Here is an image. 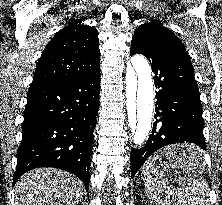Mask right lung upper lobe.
Here are the masks:
<instances>
[{
    "label": "right lung upper lobe",
    "instance_id": "obj_1",
    "mask_svg": "<svg viewBox=\"0 0 222 205\" xmlns=\"http://www.w3.org/2000/svg\"><path fill=\"white\" fill-rule=\"evenodd\" d=\"M72 20L48 43L36 66L31 86L66 81L86 76L100 63L98 32Z\"/></svg>",
    "mask_w": 222,
    "mask_h": 205
}]
</instances>
